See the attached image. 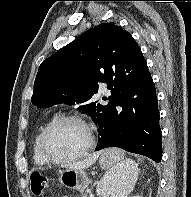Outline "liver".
I'll return each instance as SVG.
<instances>
[{"mask_svg":"<svg viewBox=\"0 0 191 197\" xmlns=\"http://www.w3.org/2000/svg\"><path fill=\"white\" fill-rule=\"evenodd\" d=\"M101 153L102 152H97V153H94L93 155L89 156L85 160L71 163V164L67 165V168L76 169V170H84L85 168H88L91 165H93Z\"/></svg>","mask_w":191,"mask_h":197,"instance_id":"obj_1","label":"liver"}]
</instances>
